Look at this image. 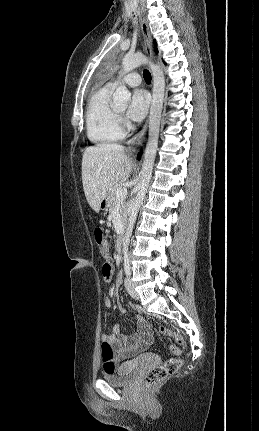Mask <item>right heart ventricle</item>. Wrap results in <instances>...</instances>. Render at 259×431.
I'll return each instance as SVG.
<instances>
[{"label":"right heart ventricle","instance_id":"e07e8e85","mask_svg":"<svg viewBox=\"0 0 259 431\" xmlns=\"http://www.w3.org/2000/svg\"><path fill=\"white\" fill-rule=\"evenodd\" d=\"M113 87L105 85L90 98L86 110V133L97 145L111 143L122 138L123 131L116 110L110 104Z\"/></svg>","mask_w":259,"mask_h":431}]
</instances>
